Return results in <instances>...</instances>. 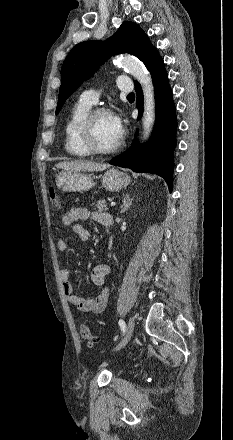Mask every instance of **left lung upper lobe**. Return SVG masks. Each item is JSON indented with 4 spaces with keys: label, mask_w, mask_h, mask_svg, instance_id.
<instances>
[{
    "label": "left lung upper lobe",
    "mask_w": 233,
    "mask_h": 440,
    "mask_svg": "<svg viewBox=\"0 0 233 440\" xmlns=\"http://www.w3.org/2000/svg\"><path fill=\"white\" fill-rule=\"evenodd\" d=\"M129 53L138 57L147 67L158 53L147 35L135 23L123 22L118 31L107 41H87L77 44L70 51L61 68L62 83L56 114L66 99L90 78L97 67L111 55Z\"/></svg>",
    "instance_id": "left-lung-upper-lobe-1"
}]
</instances>
